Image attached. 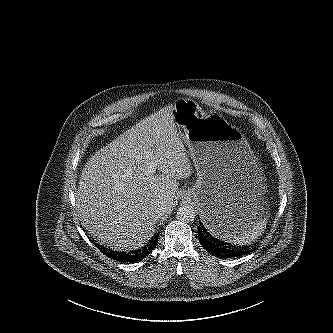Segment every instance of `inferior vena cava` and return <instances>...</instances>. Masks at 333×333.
Segmentation results:
<instances>
[{
    "label": "inferior vena cava",
    "instance_id": "obj_1",
    "mask_svg": "<svg viewBox=\"0 0 333 333\" xmlns=\"http://www.w3.org/2000/svg\"><path fill=\"white\" fill-rule=\"evenodd\" d=\"M156 212L158 215L165 214L167 212V208L164 204H160L157 206Z\"/></svg>",
    "mask_w": 333,
    "mask_h": 333
}]
</instances>
